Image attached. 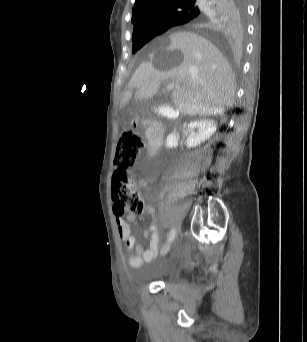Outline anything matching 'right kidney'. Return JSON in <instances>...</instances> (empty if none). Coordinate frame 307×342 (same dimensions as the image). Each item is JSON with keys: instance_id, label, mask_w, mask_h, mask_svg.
I'll list each match as a JSON object with an SVG mask.
<instances>
[{"instance_id": "right-kidney-1", "label": "right kidney", "mask_w": 307, "mask_h": 342, "mask_svg": "<svg viewBox=\"0 0 307 342\" xmlns=\"http://www.w3.org/2000/svg\"><path fill=\"white\" fill-rule=\"evenodd\" d=\"M188 128L191 130V134L187 138V148H195V146H199L202 142H206L217 130L214 120H196V122H190ZM194 128H197V132H193ZM166 146L167 148H177L178 140L176 134H168Z\"/></svg>"}]
</instances>
